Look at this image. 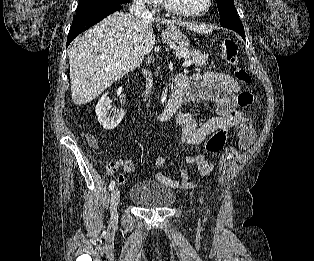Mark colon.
Instances as JSON below:
<instances>
[{"label": "colon", "mask_w": 314, "mask_h": 261, "mask_svg": "<svg viewBox=\"0 0 314 261\" xmlns=\"http://www.w3.org/2000/svg\"><path fill=\"white\" fill-rule=\"evenodd\" d=\"M222 56L224 60L234 68L235 77L237 80L246 86V88L238 95V105L241 108L250 107L254 102V94L249 88L252 78L250 73L245 68L240 66L238 42L231 38L226 39L222 47ZM233 115L236 116L237 112H234ZM231 127L232 126H224L218 129L208 138L205 144L204 153L201 157L202 161H206L211 155L217 154L222 150L228 138Z\"/></svg>", "instance_id": "1"}]
</instances>
